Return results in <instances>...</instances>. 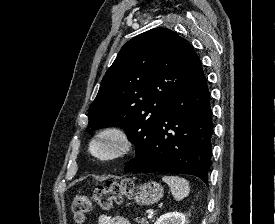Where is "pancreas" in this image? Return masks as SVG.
<instances>
[{
    "label": "pancreas",
    "mask_w": 275,
    "mask_h": 224,
    "mask_svg": "<svg viewBox=\"0 0 275 224\" xmlns=\"http://www.w3.org/2000/svg\"><path fill=\"white\" fill-rule=\"evenodd\" d=\"M137 224H149V221L146 218L136 219Z\"/></svg>",
    "instance_id": "1"
}]
</instances>
